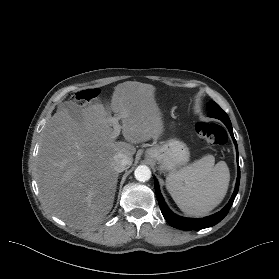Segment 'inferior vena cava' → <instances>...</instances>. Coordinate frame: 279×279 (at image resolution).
<instances>
[{
	"label": "inferior vena cava",
	"mask_w": 279,
	"mask_h": 279,
	"mask_svg": "<svg viewBox=\"0 0 279 279\" xmlns=\"http://www.w3.org/2000/svg\"><path fill=\"white\" fill-rule=\"evenodd\" d=\"M112 164L115 171L122 172L130 167L132 160L129 156L123 153H118L113 157Z\"/></svg>",
	"instance_id": "602c4592"
}]
</instances>
